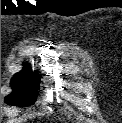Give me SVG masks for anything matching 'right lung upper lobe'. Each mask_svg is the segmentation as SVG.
<instances>
[{"instance_id":"right-lung-upper-lobe-1","label":"right lung upper lobe","mask_w":122,"mask_h":123,"mask_svg":"<svg viewBox=\"0 0 122 123\" xmlns=\"http://www.w3.org/2000/svg\"><path fill=\"white\" fill-rule=\"evenodd\" d=\"M24 66H25V68H29V67H28V66H29L28 64H24Z\"/></svg>"}]
</instances>
